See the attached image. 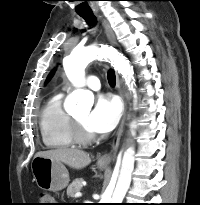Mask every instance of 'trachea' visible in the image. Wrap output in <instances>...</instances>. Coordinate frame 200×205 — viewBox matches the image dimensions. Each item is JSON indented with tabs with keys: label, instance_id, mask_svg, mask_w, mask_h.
I'll list each match as a JSON object with an SVG mask.
<instances>
[{
	"label": "trachea",
	"instance_id": "obj_1",
	"mask_svg": "<svg viewBox=\"0 0 200 205\" xmlns=\"http://www.w3.org/2000/svg\"><path fill=\"white\" fill-rule=\"evenodd\" d=\"M81 17L85 19V21L89 25H94L95 24V16L92 13H84V14H79ZM107 79L108 82L111 86H115L116 83V78H115V72L114 71H109L107 74Z\"/></svg>",
	"mask_w": 200,
	"mask_h": 205
}]
</instances>
